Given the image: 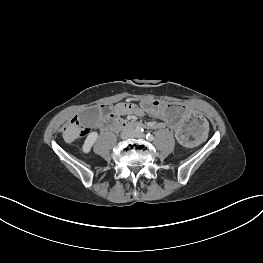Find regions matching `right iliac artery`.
I'll list each match as a JSON object with an SVG mask.
<instances>
[{
	"instance_id": "obj_1",
	"label": "right iliac artery",
	"mask_w": 263,
	"mask_h": 263,
	"mask_svg": "<svg viewBox=\"0 0 263 263\" xmlns=\"http://www.w3.org/2000/svg\"><path fill=\"white\" fill-rule=\"evenodd\" d=\"M136 131L141 133V132H143V128L141 126H139V127L136 128Z\"/></svg>"
}]
</instances>
